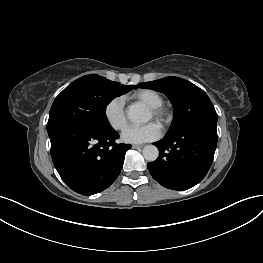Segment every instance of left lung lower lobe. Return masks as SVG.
Segmentation results:
<instances>
[{"label": "left lung lower lobe", "instance_id": "obj_1", "mask_svg": "<svg viewBox=\"0 0 263 263\" xmlns=\"http://www.w3.org/2000/svg\"><path fill=\"white\" fill-rule=\"evenodd\" d=\"M159 157L147 167L162 186L186 190L207 174L217 145L216 124H199L166 134L154 143Z\"/></svg>", "mask_w": 263, "mask_h": 263}]
</instances>
